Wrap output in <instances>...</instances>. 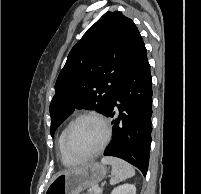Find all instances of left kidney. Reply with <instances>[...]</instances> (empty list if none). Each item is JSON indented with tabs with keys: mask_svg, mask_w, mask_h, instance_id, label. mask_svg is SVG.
Here are the masks:
<instances>
[{
	"mask_svg": "<svg viewBox=\"0 0 201 194\" xmlns=\"http://www.w3.org/2000/svg\"><path fill=\"white\" fill-rule=\"evenodd\" d=\"M111 194H136V188L131 184H123L114 188Z\"/></svg>",
	"mask_w": 201,
	"mask_h": 194,
	"instance_id": "left-kidney-1",
	"label": "left kidney"
}]
</instances>
